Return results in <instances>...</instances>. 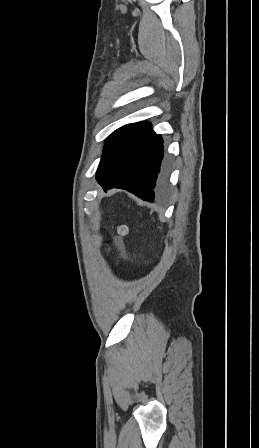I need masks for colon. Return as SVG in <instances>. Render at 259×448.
<instances>
[{"label":"colon","instance_id":"5ec220e1","mask_svg":"<svg viewBox=\"0 0 259 448\" xmlns=\"http://www.w3.org/2000/svg\"><path fill=\"white\" fill-rule=\"evenodd\" d=\"M116 231H117L118 235L124 236V235H126L127 229H126V226L120 225V226L116 227Z\"/></svg>","mask_w":259,"mask_h":448}]
</instances>
